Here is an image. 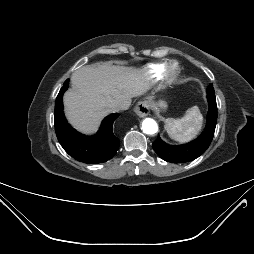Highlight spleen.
I'll return each instance as SVG.
<instances>
[{"label":"spleen","mask_w":254,"mask_h":254,"mask_svg":"<svg viewBox=\"0 0 254 254\" xmlns=\"http://www.w3.org/2000/svg\"><path fill=\"white\" fill-rule=\"evenodd\" d=\"M203 122L202 114L197 106L189 108L182 118L165 119V128L173 140L186 143L198 134Z\"/></svg>","instance_id":"1"}]
</instances>
